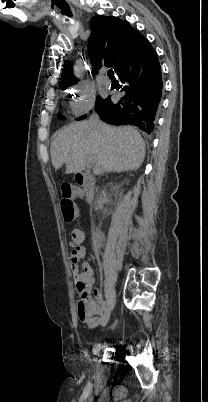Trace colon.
<instances>
[{
  "mask_svg": "<svg viewBox=\"0 0 208 402\" xmlns=\"http://www.w3.org/2000/svg\"><path fill=\"white\" fill-rule=\"evenodd\" d=\"M76 187L73 184H62L61 189H60V193L61 196L63 198H69L73 192L75 191ZM63 220L64 222H75L76 220V207L74 205H65L63 207ZM68 239H69V243L72 246H75L77 248H71L70 249V260L72 263H77L79 259L82 258V253L84 251V246L81 245V234L77 231H73L71 230L68 233ZM84 296L87 297H79L78 298V305H79V313H80V317L83 318H87L91 315H93L92 309L90 308V306L93 305V298L92 297H88L89 296V291L88 289H84L83 291Z\"/></svg>",
  "mask_w": 208,
  "mask_h": 402,
  "instance_id": "5ec220e1",
  "label": "colon"
}]
</instances>
